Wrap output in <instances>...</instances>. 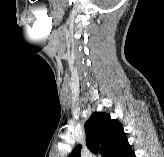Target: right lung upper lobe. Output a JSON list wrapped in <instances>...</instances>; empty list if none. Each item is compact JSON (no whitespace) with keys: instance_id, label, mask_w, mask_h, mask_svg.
<instances>
[{"instance_id":"right-lung-upper-lobe-1","label":"right lung upper lobe","mask_w":164,"mask_h":157,"mask_svg":"<svg viewBox=\"0 0 164 157\" xmlns=\"http://www.w3.org/2000/svg\"><path fill=\"white\" fill-rule=\"evenodd\" d=\"M86 146L92 152L100 151L101 157H116L127 141L122 124L103 112L93 113L85 123ZM78 145L68 157H81Z\"/></svg>"}]
</instances>
